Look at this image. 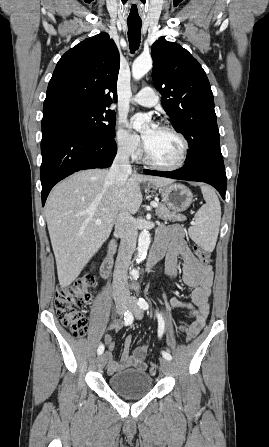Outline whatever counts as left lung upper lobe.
<instances>
[{"instance_id":"left-lung-upper-lobe-1","label":"left lung upper lobe","mask_w":269,"mask_h":447,"mask_svg":"<svg viewBox=\"0 0 269 447\" xmlns=\"http://www.w3.org/2000/svg\"><path fill=\"white\" fill-rule=\"evenodd\" d=\"M152 79L174 129L188 141L185 166L222 156L209 80L198 61L179 44L159 38L151 47Z\"/></svg>"}]
</instances>
